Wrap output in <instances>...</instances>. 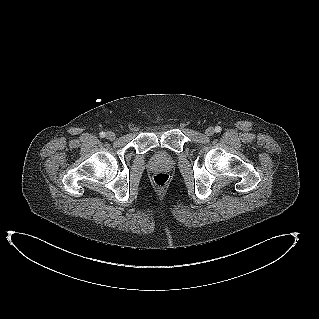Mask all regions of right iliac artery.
<instances>
[{"instance_id":"right-iliac-artery-1","label":"right iliac artery","mask_w":319,"mask_h":319,"mask_svg":"<svg viewBox=\"0 0 319 319\" xmlns=\"http://www.w3.org/2000/svg\"><path fill=\"white\" fill-rule=\"evenodd\" d=\"M106 136L105 132H100V137L104 138Z\"/></svg>"}]
</instances>
